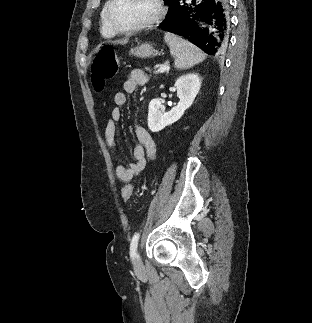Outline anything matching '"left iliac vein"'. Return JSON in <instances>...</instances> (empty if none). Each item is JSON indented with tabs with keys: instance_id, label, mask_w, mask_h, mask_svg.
Listing matches in <instances>:
<instances>
[{
	"instance_id": "left-iliac-vein-1",
	"label": "left iliac vein",
	"mask_w": 312,
	"mask_h": 323,
	"mask_svg": "<svg viewBox=\"0 0 312 323\" xmlns=\"http://www.w3.org/2000/svg\"><path fill=\"white\" fill-rule=\"evenodd\" d=\"M141 266H142L141 258L139 256V253H136V258L134 260V269H135V271L136 272L139 271L141 269Z\"/></svg>"
}]
</instances>
